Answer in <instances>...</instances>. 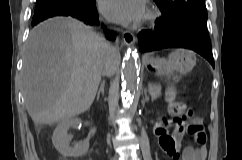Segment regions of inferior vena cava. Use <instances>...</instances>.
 <instances>
[{
  "mask_svg": "<svg viewBox=\"0 0 242 160\" xmlns=\"http://www.w3.org/2000/svg\"><path fill=\"white\" fill-rule=\"evenodd\" d=\"M106 50H107V61L104 63V68H98V73H118V68H115V63H118V60H120V52L118 50V47H112L108 43L105 44Z\"/></svg>",
  "mask_w": 242,
  "mask_h": 160,
  "instance_id": "inferior-vena-cava-1",
  "label": "inferior vena cava"
}]
</instances>
